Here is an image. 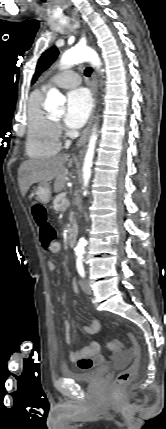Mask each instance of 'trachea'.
Returning <instances> with one entry per match:
<instances>
[{"instance_id":"trachea-1","label":"trachea","mask_w":166,"mask_h":429,"mask_svg":"<svg viewBox=\"0 0 166 429\" xmlns=\"http://www.w3.org/2000/svg\"><path fill=\"white\" fill-rule=\"evenodd\" d=\"M92 68L91 67H87L84 71L85 76L90 77L91 73H92Z\"/></svg>"}]
</instances>
